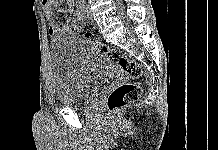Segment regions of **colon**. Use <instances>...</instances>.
Returning a JSON list of instances; mask_svg holds the SVG:
<instances>
[{
    "label": "colon",
    "mask_w": 218,
    "mask_h": 150,
    "mask_svg": "<svg viewBox=\"0 0 218 150\" xmlns=\"http://www.w3.org/2000/svg\"><path fill=\"white\" fill-rule=\"evenodd\" d=\"M66 26L68 32L71 34H78L81 31V27L75 18L69 17L66 20ZM84 37L87 42L97 47L110 62L116 63L129 78L137 80L142 76L141 66L125 57L120 50L104 44L93 32L86 31ZM140 94L141 87L138 84L133 82L120 83L108 94V109L114 112L135 101Z\"/></svg>",
    "instance_id": "obj_1"
}]
</instances>
